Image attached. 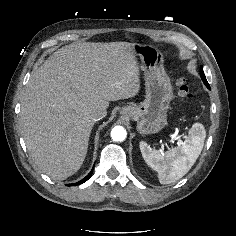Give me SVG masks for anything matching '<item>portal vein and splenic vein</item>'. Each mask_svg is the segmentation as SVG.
<instances>
[{"mask_svg": "<svg viewBox=\"0 0 236 236\" xmlns=\"http://www.w3.org/2000/svg\"><path fill=\"white\" fill-rule=\"evenodd\" d=\"M177 139H178V142H179V143H181V140H180V138H179V137H177Z\"/></svg>", "mask_w": 236, "mask_h": 236, "instance_id": "portal-vein-and-splenic-vein-1", "label": "portal vein and splenic vein"}]
</instances>
